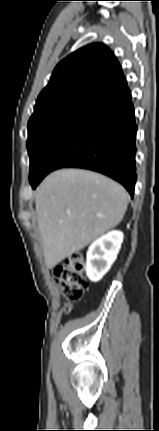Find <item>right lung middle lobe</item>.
Segmentation results:
<instances>
[{
	"label": "right lung middle lobe",
	"mask_w": 159,
	"mask_h": 431,
	"mask_svg": "<svg viewBox=\"0 0 159 431\" xmlns=\"http://www.w3.org/2000/svg\"><path fill=\"white\" fill-rule=\"evenodd\" d=\"M85 119L83 116L57 113L28 123L27 148L30 157V181L39 175L52 147Z\"/></svg>",
	"instance_id": "1"
}]
</instances>
